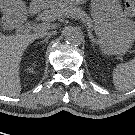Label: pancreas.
<instances>
[{"label": "pancreas", "instance_id": "obj_1", "mask_svg": "<svg viewBox=\"0 0 135 135\" xmlns=\"http://www.w3.org/2000/svg\"><path fill=\"white\" fill-rule=\"evenodd\" d=\"M66 6L68 7V11L70 13L75 14L79 18L84 19L87 24L91 27H93L92 20L87 16L85 11H83L80 7L77 6L78 2L75 0H66L65 1ZM64 6L61 7H54L48 10H44L40 14H38L37 20L43 21L44 24H47L49 27V23L64 16Z\"/></svg>", "mask_w": 135, "mask_h": 135}]
</instances>
